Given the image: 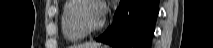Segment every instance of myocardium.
I'll return each mask as SVG.
<instances>
[{"instance_id":"obj_1","label":"myocardium","mask_w":213,"mask_h":48,"mask_svg":"<svg viewBox=\"0 0 213 48\" xmlns=\"http://www.w3.org/2000/svg\"><path fill=\"white\" fill-rule=\"evenodd\" d=\"M87 3H95V4H97V1H94V0H78L76 5L74 6L73 11H72L73 21L76 24L77 28L84 35H89V34H93V33H96L98 31H100L103 28L104 24H105V19L103 18V16H101L100 22L94 27H89V26H87L84 23L80 12H81L82 7L85 4H87Z\"/></svg>"}]
</instances>
